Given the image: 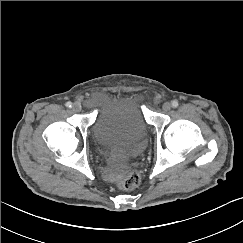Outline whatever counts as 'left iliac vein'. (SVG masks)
Wrapping results in <instances>:
<instances>
[{
    "instance_id": "left-iliac-vein-1",
    "label": "left iliac vein",
    "mask_w": 243,
    "mask_h": 243,
    "mask_svg": "<svg viewBox=\"0 0 243 243\" xmlns=\"http://www.w3.org/2000/svg\"><path fill=\"white\" fill-rule=\"evenodd\" d=\"M163 111H169L171 109V104L169 102H166L162 105Z\"/></svg>"
}]
</instances>
